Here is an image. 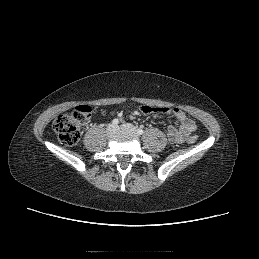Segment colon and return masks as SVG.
Masks as SVG:
<instances>
[{
  "label": "colon",
  "mask_w": 259,
  "mask_h": 259,
  "mask_svg": "<svg viewBox=\"0 0 259 259\" xmlns=\"http://www.w3.org/2000/svg\"><path fill=\"white\" fill-rule=\"evenodd\" d=\"M91 115L92 108L87 105L77 106L69 112L60 114L53 124L60 142L66 146L77 144L81 137L82 128ZM197 139L196 135H191L187 141L189 144H194Z\"/></svg>",
  "instance_id": "colon-1"
}]
</instances>
